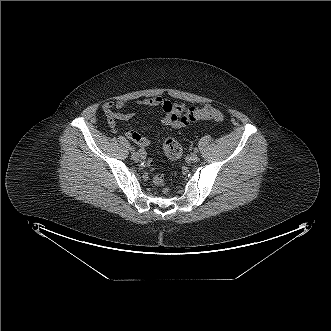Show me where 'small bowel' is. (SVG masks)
<instances>
[{"instance_id": "c3829d8e", "label": "small bowel", "mask_w": 331, "mask_h": 331, "mask_svg": "<svg viewBox=\"0 0 331 331\" xmlns=\"http://www.w3.org/2000/svg\"><path fill=\"white\" fill-rule=\"evenodd\" d=\"M140 104L148 107L160 106L163 111V117L161 119V125L163 127H169L173 129L185 128L189 124H185L183 121V115L186 111L193 108L192 106L185 103L172 102L167 98L161 96H153L140 101ZM125 103L123 101H110L106 102L102 106V110L107 118L109 126L115 132L116 123L118 120L127 121L134 115L133 112H123ZM126 138L135 142L140 147L145 148L149 146L150 141L143 137L137 131L126 132Z\"/></svg>"}]
</instances>
